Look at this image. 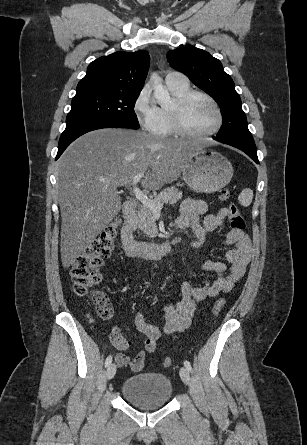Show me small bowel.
I'll use <instances>...</instances> for the list:
<instances>
[{"instance_id": "c3829d8e", "label": "small bowel", "mask_w": 307, "mask_h": 445, "mask_svg": "<svg viewBox=\"0 0 307 445\" xmlns=\"http://www.w3.org/2000/svg\"><path fill=\"white\" fill-rule=\"evenodd\" d=\"M229 213L226 207L216 213H208L207 205L203 201L186 199L181 204L180 216L175 225L178 229L191 231L194 239L190 244L193 248L199 249L204 245L207 235L222 226ZM222 243L231 247L226 253L228 264L214 260H204L201 263L202 269L214 272L216 278L212 281L206 280L198 286L193 285L190 279L184 280L181 284V299L162 307L166 334L186 330L200 302L231 291L245 275L252 256L250 238L243 231L231 229L225 234ZM134 324L137 331L144 336L143 348L134 357H130L124 351L131 343L124 339L123 345L115 346L120 351L115 355V360L119 366L128 365L133 371L138 372L144 367L146 353L155 352L161 333L156 326L147 323L140 313L136 314Z\"/></svg>"}]
</instances>
